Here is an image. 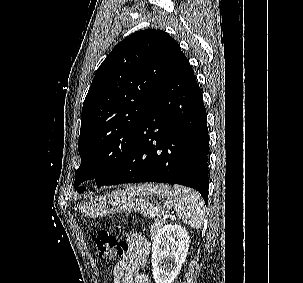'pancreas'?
I'll return each mask as SVG.
<instances>
[{
  "label": "pancreas",
  "mask_w": 303,
  "mask_h": 283,
  "mask_svg": "<svg viewBox=\"0 0 303 283\" xmlns=\"http://www.w3.org/2000/svg\"><path fill=\"white\" fill-rule=\"evenodd\" d=\"M160 229H161V227H160V225H159L158 222H154L151 225L150 236H151L152 239L158 234V232L160 231Z\"/></svg>",
  "instance_id": "cf45deb5"
}]
</instances>
